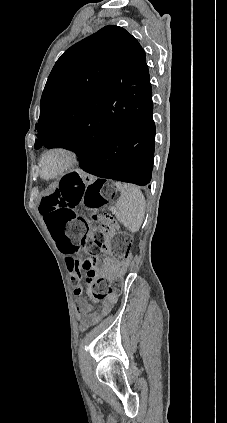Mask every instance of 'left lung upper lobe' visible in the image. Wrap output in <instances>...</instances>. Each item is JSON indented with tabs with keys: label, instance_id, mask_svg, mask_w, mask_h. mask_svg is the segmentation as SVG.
<instances>
[{
	"label": "left lung upper lobe",
	"instance_id": "left-lung-upper-lobe-1",
	"mask_svg": "<svg viewBox=\"0 0 227 423\" xmlns=\"http://www.w3.org/2000/svg\"><path fill=\"white\" fill-rule=\"evenodd\" d=\"M151 96L145 52L122 27L109 25L67 49L46 82L35 149L94 130L106 113H140Z\"/></svg>",
	"mask_w": 227,
	"mask_h": 423
}]
</instances>
